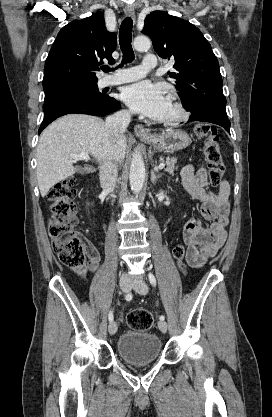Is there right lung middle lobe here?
Masks as SVG:
<instances>
[{
    "label": "right lung middle lobe",
    "mask_w": 272,
    "mask_h": 417,
    "mask_svg": "<svg viewBox=\"0 0 272 417\" xmlns=\"http://www.w3.org/2000/svg\"><path fill=\"white\" fill-rule=\"evenodd\" d=\"M44 92L45 100L43 110L62 100L80 98L99 101L107 97L106 94L98 90L97 83L59 86L44 90Z\"/></svg>",
    "instance_id": "right-lung-middle-lobe-1"
}]
</instances>
